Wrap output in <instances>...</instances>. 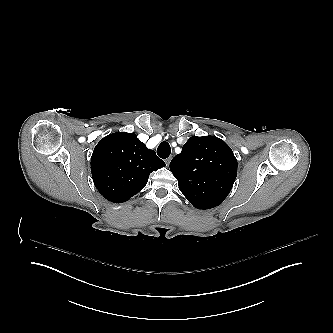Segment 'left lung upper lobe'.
<instances>
[{"label":"left lung upper lobe","instance_id":"1","mask_svg":"<svg viewBox=\"0 0 333 333\" xmlns=\"http://www.w3.org/2000/svg\"><path fill=\"white\" fill-rule=\"evenodd\" d=\"M170 170L195 208L210 209L230 193L237 176V159L223 140L193 136L172 159Z\"/></svg>","mask_w":333,"mask_h":333}]
</instances>
